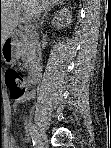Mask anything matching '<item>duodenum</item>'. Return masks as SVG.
<instances>
[{
    "label": "duodenum",
    "mask_w": 111,
    "mask_h": 148,
    "mask_svg": "<svg viewBox=\"0 0 111 148\" xmlns=\"http://www.w3.org/2000/svg\"><path fill=\"white\" fill-rule=\"evenodd\" d=\"M37 82H38V69L32 68L31 73H30L29 83L35 84Z\"/></svg>",
    "instance_id": "duodenum-1"
}]
</instances>
